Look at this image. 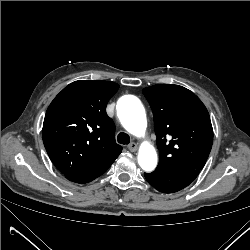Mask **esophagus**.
<instances>
[{
    "label": "esophagus",
    "instance_id": "esophagus-1",
    "mask_svg": "<svg viewBox=\"0 0 250 250\" xmlns=\"http://www.w3.org/2000/svg\"><path fill=\"white\" fill-rule=\"evenodd\" d=\"M137 148H138V146H137V144L134 143V142H132V143H130V144L128 145V149H129L131 152L136 151Z\"/></svg>",
    "mask_w": 250,
    "mask_h": 250
}]
</instances>
